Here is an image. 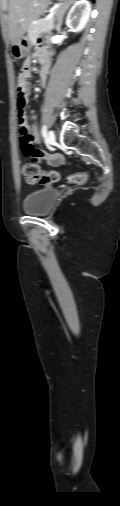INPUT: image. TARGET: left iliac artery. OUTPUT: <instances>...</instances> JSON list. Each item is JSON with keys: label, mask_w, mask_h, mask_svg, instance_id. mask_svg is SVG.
I'll return each mask as SVG.
<instances>
[{"label": "left iliac artery", "mask_w": 120, "mask_h": 506, "mask_svg": "<svg viewBox=\"0 0 120 506\" xmlns=\"http://www.w3.org/2000/svg\"><path fill=\"white\" fill-rule=\"evenodd\" d=\"M41 133H42V136L45 138V137H46V135H47V127H46V125H43V126H42Z\"/></svg>", "instance_id": "obj_1"}]
</instances>
